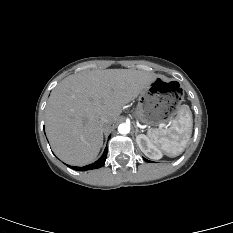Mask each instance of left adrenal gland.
Masks as SVG:
<instances>
[{
    "instance_id": "left-adrenal-gland-1",
    "label": "left adrenal gland",
    "mask_w": 233,
    "mask_h": 233,
    "mask_svg": "<svg viewBox=\"0 0 233 233\" xmlns=\"http://www.w3.org/2000/svg\"><path fill=\"white\" fill-rule=\"evenodd\" d=\"M135 128H136V137H137L138 136L137 133L139 132V129L137 126H135Z\"/></svg>"
}]
</instances>
